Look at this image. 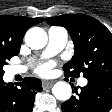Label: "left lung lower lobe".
Listing matches in <instances>:
<instances>
[{
    "mask_svg": "<svg viewBox=\"0 0 112 112\" xmlns=\"http://www.w3.org/2000/svg\"><path fill=\"white\" fill-rule=\"evenodd\" d=\"M67 76V75H66ZM72 96L61 106L62 112H109L112 109V79L91 78L88 84L74 88Z\"/></svg>",
    "mask_w": 112,
    "mask_h": 112,
    "instance_id": "left-lung-lower-lobe-1",
    "label": "left lung lower lobe"
}]
</instances>
